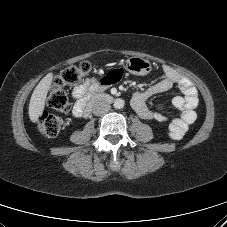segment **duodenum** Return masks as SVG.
Here are the masks:
<instances>
[{
  "label": "duodenum",
  "mask_w": 227,
  "mask_h": 227,
  "mask_svg": "<svg viewBox=\"0 0 227 227\" xmlns=\"http://www.w3.org/2000/svg\"><path fill=\"white\" fill-rule=\"evenodd\" d=\"M112 97L108 94L95 92L87 97L82 107V116L86 117L89 115L92 107L99 102H110Z\"/></svg>",
  "instance_id": "obj_1"
}]
</instances>
